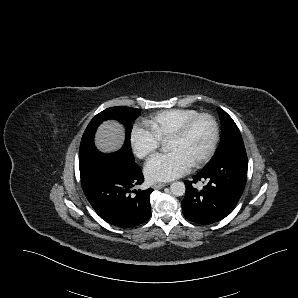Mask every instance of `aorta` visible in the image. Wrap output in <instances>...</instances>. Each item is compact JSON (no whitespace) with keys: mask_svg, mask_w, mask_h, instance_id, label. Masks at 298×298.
<instances>
[{"mask_svg":"<svg viewBox=\"0 0 298 298\" xmlns=\"http://www.w3.org/2000/svg\"><path fill=\"white\" fill-rule=\"evenodd\" d=\"M170 191L175 196H182L185 194L186 186L183 181H174L170 185Z\"/></svg>","mask_w":298,"mask_h":298,"instance_id":"1","label":"aorta"}]
</instances>
